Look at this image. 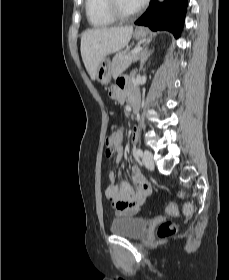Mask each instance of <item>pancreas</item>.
Returning <instances> with one entry per match:
<instances>
[{
    "label": "pancreas",
    "instance_id": "pancreas-1",
    "mask_svg": "<svg viewBox=\"0 0 229 280\" xmlns=\"http://www.w3.org/2000/svg\"><path fill=\"white\" fill-rule=\"evenodd\" d=\"M140 53L131 54V51L125 50L117 53L111 63V73L113 77L118 76L125 71L131 63L138 60Z\"/></svg>",
    "mask_w": 229,
    "mask_h": 280
}]
</instances>
